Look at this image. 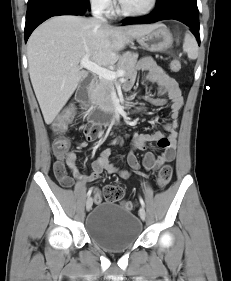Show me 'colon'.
Masks as SVG:
<instances>
[{
	"label": "colon",
	"instance_id": "5ec220e1",
	"mask_svg": "<svg viewBox=\"0 0 231 281\" xmlns=\"http://www.w3.org/2000/svg\"><path fill=\"white\" fill-rule=\"evenodd\" d=\"M172 72H179L181 70V62L177 59L172 60L170 63ZM74 116V108L70 107L63 111L52 123V131L54 139L52 142V151L57 160H66L69 155V142L63 135L69 123ZM172 168L168 165L163 166L156 177V184L159 188L166 187L172 178ZM124 189L119 185H109L103 191V197L106 201L116 202L122 199ZM102 200V195L96 194V201ZM123 206L128 209H134L135 205L132 201H123Z\"/></svg>",
	"mask_w": 231,
	"mask_h": 281
}]
</instances>
